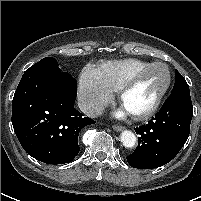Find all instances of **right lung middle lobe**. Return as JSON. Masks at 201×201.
I'll return each instance as SVG.
<instances>
[{
    "instance_id": "dd1d6c3e",
    "label": "right lung middle lobe",
    "mask_w": 201,
    "mask_h": 201,
    "mask_svg": "<svg viewBox=\"0 0 201 201\" xmlns=\"http://www.w3.org/2000/svg\"><path fill=\"white\" fill-rule=\"evenodd\" d=\"M47 70V71H53V72H60V68L58 67L57 61L52 57H45L33 66H31L26 71L30 70Z\"/></svg>"
}]
</instances>
